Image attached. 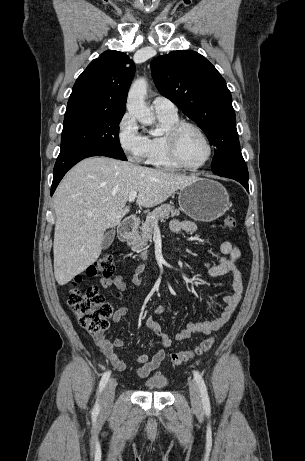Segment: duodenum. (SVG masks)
Returning <instances> with one entry per match:
<instances>
[{
    "mask_svg": "<svg viewBox=\"0 0 305 461\" xmlns=\"http://www.w3.org/2000/svg\"><path fill=\"white\" fill-rule=\"evenodd\" d=\"M136 222L133 218L126 219L121 223V225L118 228V237L121 241H125L130 238L134 228H135Z\"/></svg>",
    "mask_w": 305,
    "mask_h": 461,
    "instance_id": "duodenum-1",
    "label": "duodenum"
}]
</instances>
